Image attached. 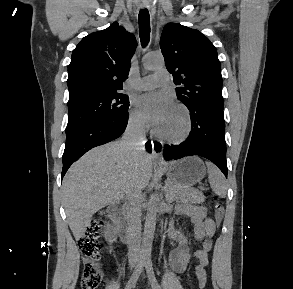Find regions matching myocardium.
I'll use <instances>...</instances> for the list:
<instances>
[{
    "instance_id": "f54148a6",
    "label": "myocardium",
    "mask_w": 293,
    "mask_h": 289,
    "mask_svg": "<svg viewBox=\"0 0 293 289\" xmlns=\"http://www.w3.org/2000/svg\"><path fill=\"white\" fill-rule=\"evenodd\" d=\"M174 108L178 109L182 112L185 120V126L183 131L176 136H166L162 134L157 128L153 130V135L159 140L164 143L179 145L184 143L191 135L193 129V122L192 117L189 109L181 103H177L174 105Z\"/></svg>"
}]
</instances>
